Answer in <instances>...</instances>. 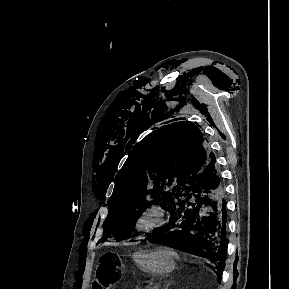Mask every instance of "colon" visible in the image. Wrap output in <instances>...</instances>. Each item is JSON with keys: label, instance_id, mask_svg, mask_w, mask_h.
Returning <instances> with one entry per match:
<instances>
[{"label": "colon", "instance_id": "5ec220e1", "mask_svg": "<svg viewBox=\"0 0 289 289\" xmlns=\"http://www.w3.org/2000/svg\"><path fill=\"white\" fill-rule=\"evenodd\" d=\"M122 274V268L116 262L111 253L101 256L97 273L93 280V289H111L118 284Z\"/></svg>", "mask_w": 289, "mask_h": 289}]
</instances>
